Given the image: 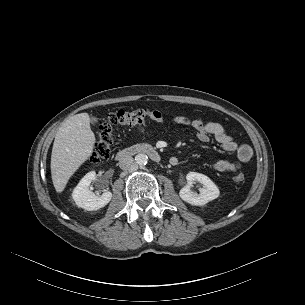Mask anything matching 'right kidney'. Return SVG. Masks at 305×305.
Wrapping results in <instances>:
<instances>
[{
    "instance_id": "1",
    "label": "right kidney",
    "mask_w": 305,
    "mask_h": 305,
    "mask_svg": "<svg viewBox=\"0 0 305 305\" xmlns=\"http://www.w3.org/2000/svg\"><path fill=\"white\" fill-rule=\"evenodd\" d=\"M96 180V172L91 171L87 173L75 187L72 193V198L76 205L88 211L98 210L106 206L111 198L112 193L105 191L101 196L95 195L89 190L91 182Z\"/></svg>"
}]
</instances>
